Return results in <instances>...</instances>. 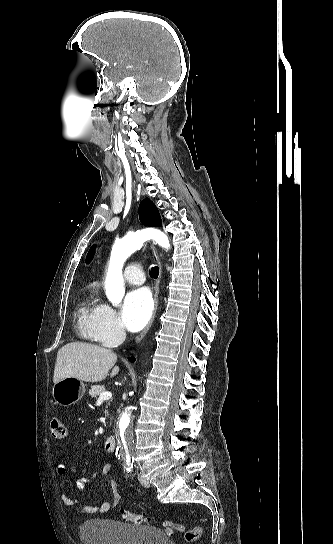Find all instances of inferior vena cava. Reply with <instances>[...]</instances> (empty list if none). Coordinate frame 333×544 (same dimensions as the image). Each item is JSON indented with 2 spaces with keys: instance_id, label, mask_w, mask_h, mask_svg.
Masks as SVG:
<instances>
[{
  "instance_id": "1",
  "label": "inferior vena cava",
  "mask_w": 333,
  "mask_h": 544,
  "mask_svg": "<svg viewBox=\"0 0 333 544\" xmlns=\"http://www.w3.org/2000/svg\"><path fill=\"white\" fill-rule=\"evenodd\" d=\"M126 337V333L124 331H121V334H120V339L121 340H124Z\"/></svg>"
}]
</instances>
